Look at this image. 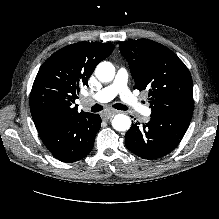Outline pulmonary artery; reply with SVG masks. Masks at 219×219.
<instances>
[{
  "label": "pulmonary artery",
  "instance_id": "obj_1",
  "mask_svg": "<svg viewBox=\"0 0 219 219\" xmlns=\"http://www.w3.org/2000/svg\"><path fill=\"white\" fill-rule=\"evenodd\" d=\"M125 83H126V75L119 73L113 84L107 86L102 90L97 91V93L93 94L92 98L89 100L98 101V102L108 101L117 93L124 91Z\"/></svg>",
  "mask_w": 219,
  "mask_h": 219
}]
</instances>
